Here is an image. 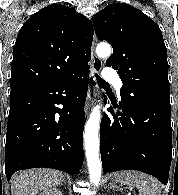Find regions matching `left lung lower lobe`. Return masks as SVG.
Here are the masks:
<instances>
[{
  "label": "left lung lower lobe",
  "mask_w": 178,
  "mask_h": 195,
  "mask_svg": "<svg viewBox=\"0 0 178 195\" xmlns=\"http://www.w3.org/2000/svg\"><path fill=\"white\" fill-rule=\"evenodd\" d=\"M114 105V104H113ZM117 115L113 108L100 125V151L104 173L138 170L168 183L172 159L170 107L121 95Z\"/></svg>",
  "instance_id": "0a47b994"
}]
</instances>
